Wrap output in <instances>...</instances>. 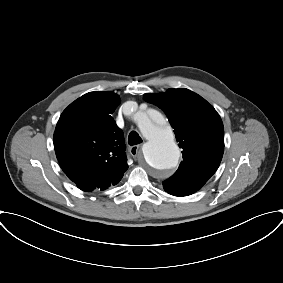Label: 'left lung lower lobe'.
Returning a JSON list of instances; mask_svg holds the SVG:
<instances>
[{
	"label": "left lung lower lobe",
	"mask_w": 283,
	"mask_h": 283,
	"mask_svg": "<svg viewBox=\"0 0 283 283\" xmlns=\"http://www.w3.org/2000/svg\"><path fill=\"white\" fill-rule=\"evenodd\" d=\"M165 191H167L169 194H172L174 196H187L194 193L197 190L178 187L176 189H165Z\"/></svg>",
	"instance_id": "1"
}]
</instances>
